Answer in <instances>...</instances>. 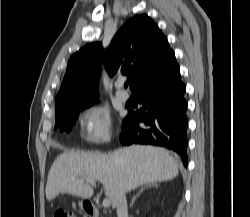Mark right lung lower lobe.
Segmentation results:
<instances>
[{"label":"right lung lower lobe","mask_w":250,"mask_h":217,"mask_svg":"<svg viewBox=\"0 0 250 217\" xmlns=\"http://www.w3.org/2000/svg\"><path fill=\"white\" fill-rule=\"evenodd\" d=\"M185 90L173 54L162 68L134 89V96L143 107L137 112L129 111L123 121L121 143L164 146L173 150L187 167ZM141 123L145 127L140 128Z\"/></svg>","instance_id":"right-lung-lower-lobe-1"}]
</instances>
